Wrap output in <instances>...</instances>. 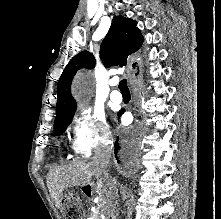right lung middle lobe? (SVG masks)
I'll use <instances>...</instances> for the list:
<instances>
[{"label": "right lung middle lobe", "mask_w": 221, "mask_h": 219, "mask_svg": "<svg viewBox=\"0 0 221 219\" xmlns=\"http://www.w3.org/2000/svg\"><path fill=\"white\" fill-rule=\"evenodd\" d=\"M75 109L70 110L65 115H62L55 119L54 121V134L59 135L60 133L64 132L66 127L71 123Z\"/></svg>", "instance_id": "right-lung-middle-lobe-1"}]
</instances>
